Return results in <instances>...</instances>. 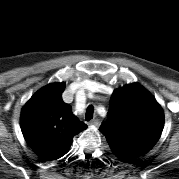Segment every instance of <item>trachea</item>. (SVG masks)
Instances as JSON below:
<instances>
[{"label":"trachea","mask_w":179,"mask_h":179,"mask_svg":"<svg viewBox=\"0 0 179 179\" xmlns=\"http://www.w3.org/2000/svg\"><path fill=\"white\" fill-rule=\"evenodd\" d=\"M93 106L90 105L87 109V113H86V120H90L91 118H93Z\"/></svg>","instance_id":"1"}]
</instances>
